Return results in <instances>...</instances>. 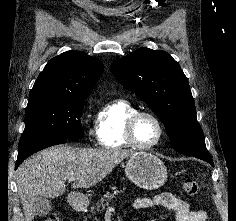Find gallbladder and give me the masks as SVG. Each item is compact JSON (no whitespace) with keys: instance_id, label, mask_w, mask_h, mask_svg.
<instances>
[{"instance_id":"gallbladder-1","label":"gallbladder","mask_w":236,"mask_h":221,"mask_svg":"<svg viewBox=\"0 0 236 221\" xmlns=\"http://www.w3.org/2000/svg\"><path fill=\"white\" fill-rule=\"evenodd\" d=\"M52 204L48 198L38 196L35 201V215L46 216L51 211Z\"/></svg>"}]
</instances>
